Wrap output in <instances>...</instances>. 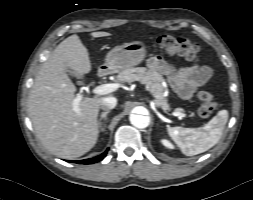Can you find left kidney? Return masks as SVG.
Masks as SVG:
<instances>
[{"label": "left kidney", "instance_id": "left-kidney-1", "mask_svg": "<svg viewBox=\"0 0 253 200\" xmlns=\"http://www.w3.org/2000/svg\"><path fill=\"white\" fill-rule=\"evenodd\" d=\"M161 143H162L166 148H169V149H174V148H175V146H174L168 139L162 138V139H161Z\"/></svg>", "mask_w": 253, "mask_h": 200}]
</instances>
